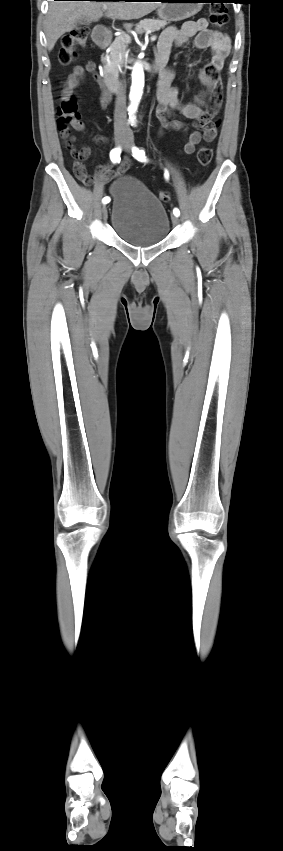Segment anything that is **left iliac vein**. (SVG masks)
<instances>
[{
	"mask_svg": "<svg viewBox=\"0 0 283 851\" xmlns=\"http://www.w3.org/2000/svg\"><path fill=\"white\" fill-rule=\"evenodd\" d=\"M124 149H125V151L129 152V151H130V149H131V145H130L129 143L124 144ZM171 220H172V224H173L174 226H175V225H177V224L179 223V219H178V217H177V216H175V215H173V216L171 217Z\"/></svg>",
	"mask_w": 283,
	"mask_h": 851,
	"instance_id": "1",
	"label": "left iliac vein"
}]
</instances>
